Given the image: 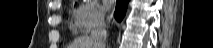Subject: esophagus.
Masks as SVG:
<instances>
[{
	"label": "esophagus",
	"instance_id": "34e87169",
	"mask_svg": "<svg viewBox=\"0 0 213 48\" xmlns=\"http://www.w3.org/2000/svg\"><path fill=\"white\" fill-rule=\"evenodd\" d=\"M114 22L113 13L110 16L109 23L112 24Z\"/></svg>",
	"mask_w": 213,
	"mask_h": 48
}]
</instances>
